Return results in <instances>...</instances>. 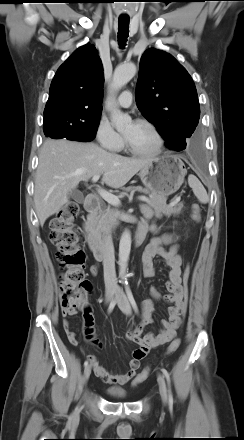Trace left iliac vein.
<instances>
[{
    "instance_id": "1",
    "label": "left iliac vein",
    "mask_w": 244,
    "mask_h": 440,
    "mask_svg": "<svg viewBox=\"0 0 244 440\" xmlns=\"http://www.w3.org/2000/svg\"><path fill=\"white\" fill-rule=\"evenodd\" d=\"M116 297H117V304H118L120 310L126 315H131L132 309H131L130 303H129L127 296L124 293L123 289L119 286L116 287ZM157 380H158V384H159V391H160V396H161L162 402H163V404H166L168 401V397H167V388H166L165 380L161 374H158Z\"/></svg>"
}]
</instances>
